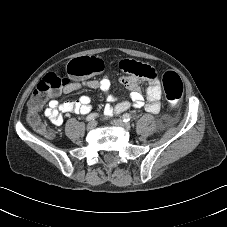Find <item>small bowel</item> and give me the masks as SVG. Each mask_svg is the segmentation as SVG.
Masks as SVG:
<instances>
[{
  "mask_svg": "<svg viewBox=\"0 0 227 227\" xmlns=\"http://www.w3.org/2000/svg\"><path fill=\"white\" fill-rule=\"evenodd\" d=\"M127 59L120 62V67L127 75L120 78V83L130 90L128 100L118 101L117 97L110 92V79L107 75L101 79H82L73 81L63 88L64 94H69L78 91L82 88H89L102 91L107 98L108 103L104 108V114L108 117L120 115L126 112L131 106L139 108L144 106L145 110L156 114L161 109L160 98L161 88L158 77L148 80L146 90V99L139 90V80L141 76L130 73L127 70ZM92 111V98L89 95H83L77 100L58 101L57 96H54L48 107L44 110L45 117L54 126H59L63 122V113L88 114Z\"/></svg>",
  "mask_w": 227,
  "mask_h": 227,
  "instance_id": "obj_1",
  "label": "small bowel"
}]
</instances>
